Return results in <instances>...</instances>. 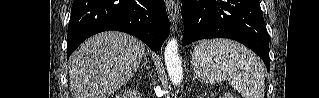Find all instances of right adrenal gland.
I'll list each match as a JSON object with an SVG mask.
<instances>
[{"instance_id": "1", "label": "right adrenal gland", "mask_w": 319, "mask_h": 98, "mask_svg": "<svg viewBox=\"0 0 319 98\" xmlns=\"http://www.w3.org/2000/svg\"><path fill=\"white\" fill-rule=\"evenodd\" d=\"M143 60H144V63L141 64V68H142L143 66H145L146 68H148V61H147L146 54H144Z\"/></svg>"}]
</instances>
